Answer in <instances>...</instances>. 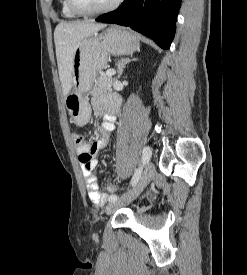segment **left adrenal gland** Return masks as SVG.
Wrapping results in <instances>:
<instances>
[{
    "instance_id": "a2214340",
    "label": "left adrenal gland",
    "mask_w": 247,
    "mask_h": 275,
    "mask_svg": "<svg viewBox=\"0 0 247 275\" xmlns=\"http://www.w3.org/2000/svg\"><path fill=\"white\" fill-rule=\"evenodd\" d=\"M137 59L134 58V59H129V58H122L120 60H118L117 62V68H118V75H117V78H120L126 65H128L131 61H136Z\"/></svg>"
}]
</instances>
